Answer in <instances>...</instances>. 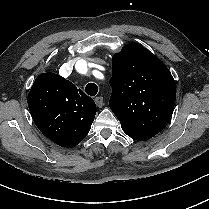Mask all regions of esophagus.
I'll list each match as a JSON object with an SVG mask.
<instances>
[{"instance_id":"obj_1","label":"esophagus","mask_w":209,"mask_h":209,"mask_svg":"<svg viewBox=\"0 0 209 209\" xmlns=\"http://www.w3.org/2000/svg\"><path fill=\"white\" fill-rule=\"evenodd\" d=\"M95 103L97 105V107L102 108L104 105V99L102 96H98L95 98Z\"/></svg>"}]
</instances>
